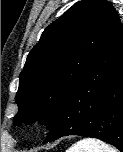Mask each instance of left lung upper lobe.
I'll return each mask as SVG.
<instances>
[{
  "label": "left lung upper lobe",
  "mask_w": 123,
  "mask_h": 152,
  "mask_svg": "<svg viewBox=\"0 0 123 152\" xmlns=\"http://www.w3.org/2000/svg\"><path fill=\"white\" fill-rule=\"evenodd\" d=\"M119 22L106 0H82L49 25L19 76L14 125L39 120L51 129L63 99Z\"/></svg>",
  "instance_id": "left-lung-upper-lobe-1"
}]
</instances>
